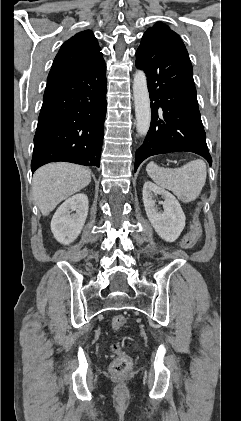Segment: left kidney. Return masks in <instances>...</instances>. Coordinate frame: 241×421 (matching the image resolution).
<instances>
[{"mask_svg": "<svg viewBox=\"0 0 241 421\" xmlns=\"http://www.w3.org/2000/svg\"><path fill=\"white\" fill-rule=\"evenodd\" d=\"M161 195L159 202L163 211H159L155 196ZM143 203L149 221L157 234L167 242H174L185 227V214L176 198L168 191L147 181L143 186Z\"/></svg>", "mask_w": 241, "mask_h": 421, "instance_id": "1", "label": "left kidney"}]
</instances>
